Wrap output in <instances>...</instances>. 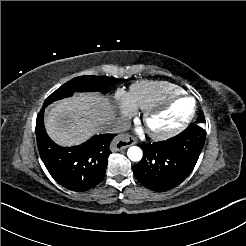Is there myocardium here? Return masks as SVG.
Listing matches in <instances>:
<instances>
[{
	"label": "myocardium",
	"mask_w": 246,
	"mask_h": 246,
	"mask_svg": "<svg viewBox=\"0 0 246 246\" xmlns=\"http://www.w3.org/2000/svg\"><path fill=\"white\" fill-rule=\"evenodd\" d=\"M181 100H187L190 102H193V99L188 96V95H183L177 99H172L167 101L164 104H161L157 107H154L144 114V123L146 126V129L149 133V135L156 140H162L169 138L179 132H181L183 129H185L192 121L194 115H195V108L191 110V112L184 118H182L180 121H178L176 124H174L171 127H168L166 129H161V130H155L151 126V120L155 118L156 116L168 111L169 109L172 108V106L181 101Z\"/></svg>",
	"instance_id": "obj_1"
}]
</instances>
